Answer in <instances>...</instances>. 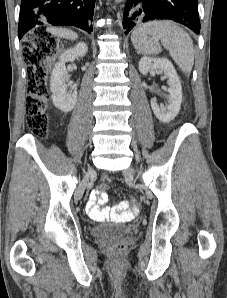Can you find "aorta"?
<instances>
[{
  "label": "aorta",
  "mask_w": 227,
  "mask_h": 298,
  "mask_svg": "<svg viewBox=\"0 0 227 298\" xmlns=\"http://www.w3.org/2000/svg\"><path fill=\"white\" fill-rule=\"evenodd\" d=\"M120 1H122V0H115L116 3H119Z\"/></svg>",
  "instance_id": "762f6f07"
}]
</instances>
